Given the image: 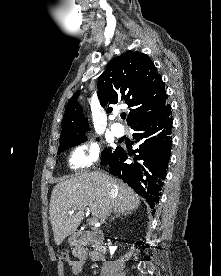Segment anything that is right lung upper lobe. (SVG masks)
Wrapping results in <instances>:
<instances>
[{
  "mask_svg": "<svg viewBox=\"0 0 221 276\" xmlns=\"http://www.w3.org/2000/svg\"><path fill=\"white\" fill-rule=\"evenodd\" d=\"M101 105L125 102L130 109L128 125L151 117L166 105L168 95L162 77L151 59L143 53L128 51L111 60L97 84ZM77 91L65 108L61 141L85 136L90 128L82 107L76 102ZM112 112V107L108 108Z\"/></svg>",
  "mask_w": 221,
  "mask_h": 276,
  "instance_id": "obj_1",
  "label": "right lung upper lobe"
}]
</instances>
